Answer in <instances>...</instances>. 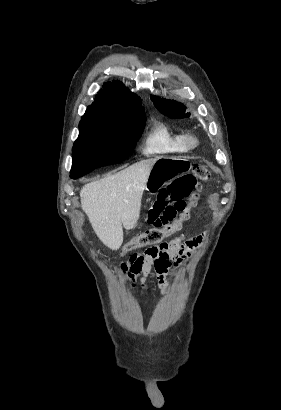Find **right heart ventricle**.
Here are the masks:
<instances>
[{"instance_id":"e07e8e85","label":"right heart ventricle","mask_w":281,"mask_h":410,"mask_svg":"<svg viewBox=\"0 0 281 410\" xmlns=\"http://www.w3.org/2000/svg\"><path fill=\"white\" fill-rule=\"evenodd\" d=\"M142 151L146 155H176L186 153L184 134L164 122H155L148 130Z\"/></svg>"}]
</instances>
